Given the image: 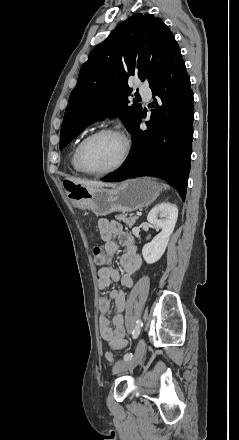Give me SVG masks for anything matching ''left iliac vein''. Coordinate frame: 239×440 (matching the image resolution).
<instances>
[{"mask_svg": "<svg viewBox=\"0 0 239 440\" xmlns=\"http://www.w3.org/2000/svg\"><path fill=\"white\" fill-rule=\"evenodd\" d=\"M144 352H145V342L143 339H140L137 344L134 356H132V358L129 360L118 361L113 367V370H112L113 373L117 374V373L135 368L142 360V358L144 356Z\"/></svg>", "mask_w": 239, "mask_h": 440, "instance_id": "4c4485c4", "label": "left iliac vein"}]
</instances>
